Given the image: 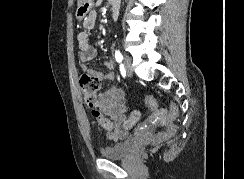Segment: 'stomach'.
<instances>
[{"mask_svg":"<svg viewBox=\"0 0 244 179\" xmlns=\"http://www.w3.org/2000/svg\"><path fill=\"white\" fill-rule=\"evenodd\" d=\"M92 4L93 0H79V6L76 10V18H78V20H83L84 16L91 10Z\"/></svg>","mask_w":244,"mask_h":179,"instance_id":"0dacf381","label":"stomach"}]
</instances>
